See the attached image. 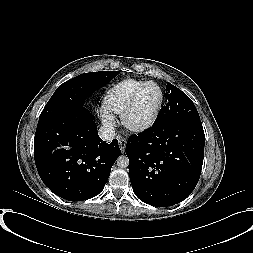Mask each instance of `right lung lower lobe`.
<instances>
[{
    "label": "right lung lower lobe",
    "instance_id": "1",
    "mask_svg": "<svg viewBox=\"0 0 253 253\" xmlns=\"http://www.w3.org/2000/svg\"><path fill=\"white\" fill-rule=\"evenodd\" d=\"M121 151L105 143L93 115L84 106L38 122L34 158L44 184L56 195L82 201L99 194Z\"/></svg>",
    "mask_w": 253,
    "mask_h": 253
}]
</instances>
